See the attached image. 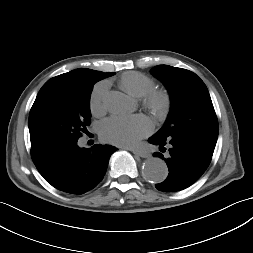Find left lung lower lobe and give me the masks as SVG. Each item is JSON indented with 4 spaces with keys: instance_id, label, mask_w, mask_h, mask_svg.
Returning a JSON list of instances; mask_svg holds the SVG:
<instances>
[{
    "instance_id": "left-lung-lower-lobe-1",
    "label": "left lung lower lobe",
    "mask_w": 253,
    "mask_h": 253,
    "mask_svg": "<svg viewBox=\"0 0 253 253\" xmlns=\"http://www.w3.org/2000/svg\"><path fill=\"white\" fill-rule=\"evenodd\" d=\"M149 142L159 145L161 152H164V146L168 145V158L160 152L154 153V156L167 163L169 169L167 178L156 184V188L163 192H175L191 186L205 172L210 164L217 137L196 130L166 139L153 136Z\"/></svg>"
}]
</instances>
